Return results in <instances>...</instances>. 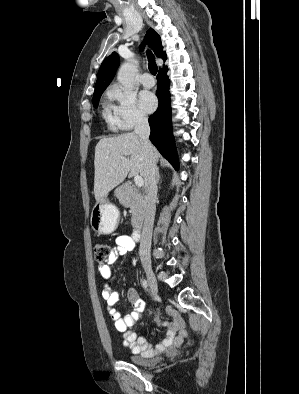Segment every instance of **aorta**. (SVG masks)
<instances>
[{"instance_id": "aorta-1", "label": "aorta", "mask_w": 299, "mask_h": 394, "mask_svg": "<svg viewBox=\"0 0 299 394\" xmlns=\"http://www.w3.org/2000/svg\"><path fill=\"white\" fill-rule=\"evenodd\" d=\"M137 72L136 66L131 62H125L119 68L117 80L127 89L134 86L135 74Z\"/></svg>"}]
</instances>
